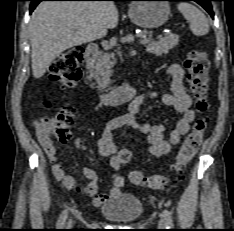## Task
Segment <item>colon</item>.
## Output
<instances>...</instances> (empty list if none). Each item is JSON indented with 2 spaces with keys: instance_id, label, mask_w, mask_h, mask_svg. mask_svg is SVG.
<instances>
[{
  "instance_id": "obj_1",
  "label": "colon",
  "mask_w": 234,
  "mask_h": 231,
  "mask_svg": "<svg viewBox=\"0 0 234 231\" xmlns=\"http://www.w3.org/2000/svg\"><path fill=\"white\" fill-rule=\"evenodd\" d=\"M83 58L84 53L80 46L64 51L50 67L51 79L60 82L65 87L75 86L81 79L80 66ZM184 65L187 70V79L191 92L196 100V107L199 112L204 113L208 108L209 61L204 52L191 50L186 57ZM45 121L48 122L49 119H45ZM51 121L53 125L52 134L61 142L67 141L69 137L68 127L74 122L73 110L70 107H64ZM206 127V118L204 116L197 118L176 156L174 164L176 172L182 171L197 153L204 139ZM118 156L120 162L126 164L131 161L133 153L129 149H122ZM129 179L131 183L145 186L151 190L161 189L169 182V178L164 175H145L140 171H132Z\"/></svg>"
}]
</instances>
